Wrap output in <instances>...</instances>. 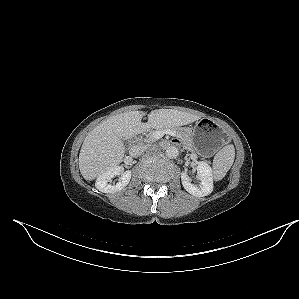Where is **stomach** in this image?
<instances>
[{
  "instance_id": "stomach-1",
  "label": "stomach",
  "mask_w": 299,
  "mask_h": 299,
  "mask_svg": "<svg viewBox=\"0 0 299 299\" xmlns=\"http://www.w3.org/2000/svg\"><path fill=\"white\" fill-rule=\"evenodd\" d=\"M191 145L202 156H212L227 142L224 129L216 122L203 118L190 130Z\"/></svg>"
}]
</instances>
